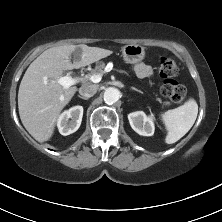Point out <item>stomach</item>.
Wrapping results in <instances>:
<instances>
[{"instance_id": "stomach-1", "label": "stomach", "mask_w": 222, "mask_h": 222, "mask_svg": "<svg viewBox=\"0 0 222 222\" xmlns=\"http://www.w3.org/2000/svg\"><path fill=\"white\" fill-rule=\"evenodd\" d=\"M122 55L126 63L135 64L145 57V47L139 44H129L122 48Z\"/></svg>"}]
</instances>
